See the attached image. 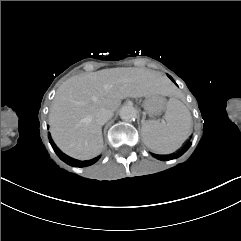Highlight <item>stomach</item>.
Segmentation results:
<instances>
[{"label":"stomach","instance_id":"stomach-1","mask_svg":"<svg viewBox=\"0 0 241 241\" xmlns=\"http://www.w3.org/2000/svg\"><path fill=\"white\" fill-rule=\"evenodd\" d=\"M165 106V99L160 95L148 96L143 102V107L150 117L160 115L164 111Z\"/></svg>","mask_w":241,"mask_h":241}]
</instances>
